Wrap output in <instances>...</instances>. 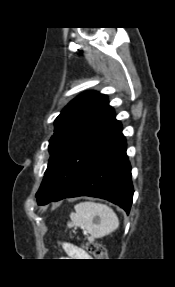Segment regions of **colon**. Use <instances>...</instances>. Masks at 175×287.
<instances>
[{
  "mask_svg": "<svg viewBox=\"0 0 175 287\" xmlns=\"http://www.w3.org/2000/svg\"><path fill=\"white\" fill-rule=\"evenodd\" d=\"M85 249L98 259H104L106 252L104 247L97 242H87L84 244Z\"/></svg>",
  "mask_w": 175,
  "mask_h": 287,
  "instance_id": "obj_1",
  "label": "colon"
}]
</instances>
